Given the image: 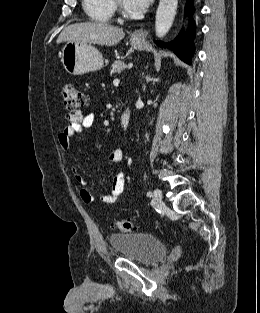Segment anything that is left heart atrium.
<instances>
[{"instance_id":"39dd6f15","label":"left heart atrium","mask_w":260,"mask_h":313,"mask_svg":"<svg viewBox=\"0 0 260 313\" xmlns=\"http://www.w3.org/2000/svg\"><path fill=\"white\" fill-rule=\"evenodd\" d=\"M123 4L130 10L140 13L148 8L153 0H122Z\"/></svg>"}]
</instances>
